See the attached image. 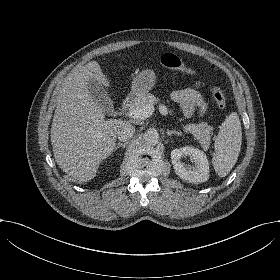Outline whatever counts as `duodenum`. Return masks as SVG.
<instances>
[{
    "label": "duodenum",
    "mask_w": 280,
    "mask_h": 280,
    "mask_svg": "<svg viewBox=\"0 0 280 280\" xmlns=\"http://www.w3.org/2000/svg\"><path fill=\"white\" fill-rule=\"evenodd\" d=\"M133 102H134V100L132 98L124 99L120 106L121 110L124 112V111L130 109L133 105Z\"/></svg>",
    "instance_id": "1"
}]
</instances>
